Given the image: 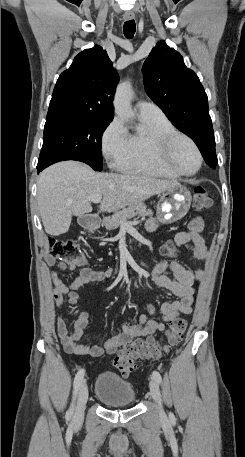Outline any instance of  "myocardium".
<instances>
[{"instance_id":"myocardium-1","label":"myocardium","mask_w":245,"mask_h":457,"mask_svg":"<svg viewBox=\"0 0 245 457\" xmlns=\"http://www.w3.org/2000/svg\"><path fill=\"white\" fill-rule=\"evenodd\" d=\"M184 139L189 143L191 150L197 158V166L193 171L184 172L164 162L160 157L161 150H167L174 146L177 140ZM145 155L147 159L158 169H161L174 176H191L201 168L202 155L198 150L194 140L185 133L179 131H171L168 133L149 132L144 141Z\"/></svg>"}]
</instances>
